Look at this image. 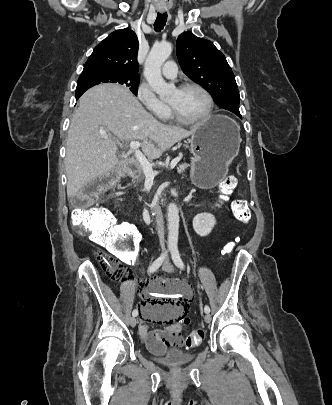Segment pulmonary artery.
Masks as SVG:
<instances>
[{
  "label": "pulmonary artery",
  "instance_id": "1",
  "mask_svg": "<svg viewBox=\"0 0 332 405\" xmlns=\"http://www.w3.org/2000/svg\"><path fill=\"white\" fill-rule=\"evenodd\" d=\"M162 74L166 78L173 79L177 76V66L174 61H167L163 68H162Z\"/></svg>",
  "mask_w": 332,
  "mask_h": 405
}]
</instances>
